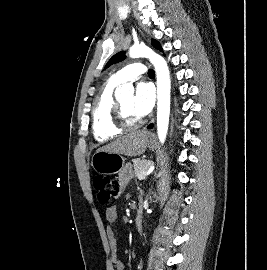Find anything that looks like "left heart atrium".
Here are the masks:
<instances>
[{
  "label": "left heart atrium",
  "mask_w": 267,
  "mask_h": 270,
  "mask_svg": "<svg viewBox=\"0 0 267 270\" xmlns=\"http://www.w3.org/2000/svg\"><path fill=\"white\" fill-rule=\"evenodd\" d=\"M154 105V90L148 83L141 82L136 87L132 108L139 117L146 116Z\"/></svg>",
  "instance_id": "left-heart-atrium-1"
}]
</instances>
